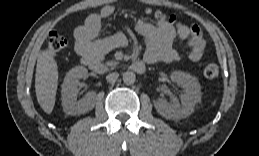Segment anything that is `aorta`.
I'll return each instance as SVG.
<instances>
[{
	"instance_id": "obj_1",
	"label": "aorta",
	"mask_w": 259,
	"mask_h": 156,
	"mask_svg": "<svg viewBox=\"0 0 259 156\" xmlns=\"http://www.w3.org/2000/svg\"><path fill=\"white\" fill-rule=\"evenodd\" d=\"M136 81V75L132 71H127L123 74V82L127 85L134 84Z\"/></svg>"
}]
</instances>
